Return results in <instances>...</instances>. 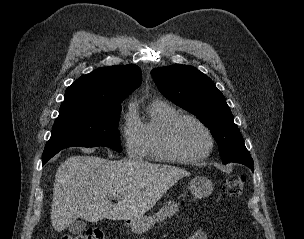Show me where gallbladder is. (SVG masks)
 Segmentation results:
<instances>
[{
  "label": "gallbladder",
  "mask_w": 304,
  "mask_h": 239,
  "mask_svg": "<svg viewBox=\"0 0 304 239\" xmlns=\"http://www.w3.org/2000/svg\"><path fill=\"white\" fill-rule=\"evenodd\" d=\"M86 229V223L82 220H75L70 223L68 230L73 234H80Z\"/></svg>",
  "instance_id": "bac80fb5"
}]
</instances>
